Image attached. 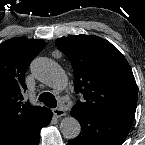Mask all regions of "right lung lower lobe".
Returning <instances> with one entry per match:
<instances>
[{"label": "right lung lower lobe", "instance_id": "right-lung-lower-lobe-1", "mask_svg": "<svg viewBox=\"0 0 145 145\" xmlns=\"http://www.w3.org/2000/svg\"><path fill=\"white\" fill-rule=\"evenodd\" d=\"M52 116V112L47 109L40 116L1 137L0 145H38L40 130L50 123Z\"/></svg>", "mask_w": 145, "mask_h": 145}]
</instances>
